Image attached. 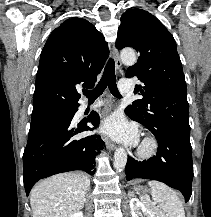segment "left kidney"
<instances>
[{
  "instance_id": "left-kidney-1",
  "label": "left kidney",
  "mask_w": 211,
  "mask_h": 217,
  "mask_svg": "<svg viewBox=\"0 0 211 217\" xmlns=\"http://www.w3.org/2000/svg\"><path fill=\"white\" fill-rule=\"evenodd\" d=\"M129 205L132 217H143L142 213L146 217H156L138 198H131Z\"/></svg>"
}]
</instances>
